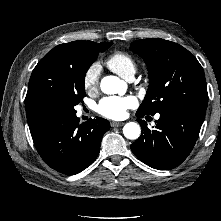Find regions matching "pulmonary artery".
<instances>
[{"label":"pulmonary artery","mask_w":221,"mask_h":221,"mask_svg":"<svg viewBox=\"0 0 221 221\" xmlns=\"http://www.w3.org/2000/svg\"><path fill=\"white\" fill-rule=\"evenodd\" d=\"M134 79V75L130 76L129 78H127L128 81H132ZM159 116H157L158 118Z\"/></svg>","instance_id":"1"}]
</instances>
